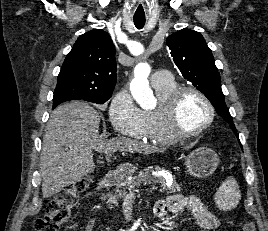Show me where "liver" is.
<instances>
[{"instance_id":"obj_1","label":"liver","mask_w":268,"mask_h":231,"mask_svg":"<svg viewBox=\"0 0 268 231\" xmlns=\"http://www.w3.org/2000/svg\"><path fill=\"white\" fill-rule=\"evenodd\" d=\"M99 113L88 103L72 101L57 107L47 123L40 155L43 198H49L94 171L93 150L152 153L156 147L137 140L99 135Z\"/></svg>"}]
</instances>
